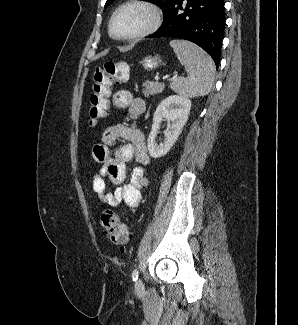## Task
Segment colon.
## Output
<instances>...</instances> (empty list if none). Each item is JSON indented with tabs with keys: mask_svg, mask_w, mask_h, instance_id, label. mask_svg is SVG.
<instances>
[{
	"mask_svg": "<svg viewBox=\"0 0 298 325\" xmlns=\"http://www.w3.org/2000/svg\"><path fill=\"white\" fill-rule=\"evenodd\" d=\"M129 77V66L124 62H105L93 72V90L90 96L88 117L91 126L106 116L108 96L114 82H125ZM101 223L107 239L114 245L124 247L130 238V231L119 215L110 209L101 214Z\"/></svg>",
	"mask_w": 298,
	"mask_h": 325,
	"instance_id": "5ec220e1",
	"label": "colon"
}]
</instances>
